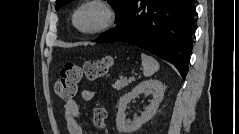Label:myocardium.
Instances as JSON below:
<instances>
[{"label": "myocardium", "instance_id": "1", "mask_svg": "<svg viewBox=\"0 0 239 134\" xmlns=\"http://www.w3.org/2000/svg\"><path fill=\"white\" fill-rule=\"evenodd\" d=\"M90 7H95L98 8L102 11L103 13V19L101 21V23L92 28V29H83L79 26L78 24V15L80 14L81 11H83L86 8H90ZM116 19V15L115 12L113 10V8L105 1H101V0H91V1H86L83 2L74 12L73 14V18H72V22L74 27L83 34L86 35H94V34H98L101 33L105 30H107L108 28H110Z\"/></svg>", "mask_w": 239, "mask_h": 134}]
</instances>
